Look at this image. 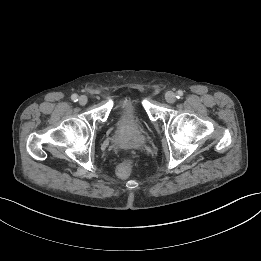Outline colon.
I'll list each match as a JSON object with an SVG mask.
<instances>
[{
    "label": "colon",
    "instance_id": "5ec220e1",
    "mask_svg": "<svg viewBox=\"0 0 261 261\" xmlns=\"http://www.w3.org/2000/svg\"><path fill=\"white\" fill-rule=\"evenodd\" d=\"M130 170H131L130 161H125L117 167L116 174L119 178L125 179L129 176Z\"/></svg>",
    "mask_w": 261,
    "mask_h": 261
}]
</instances>
